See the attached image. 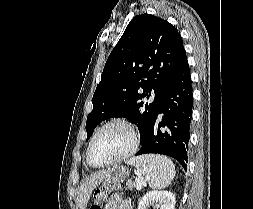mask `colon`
Masks as SVG:
<instances>
[{"label":"colon","instance_id":"obj_1","mask_svg":"<svg viewBox=\"0 0 253 209\" xmlns=\"http://www.w3.org/2000/svg\"><path fill=\"white\" fill-rule=\"evenodd\" d=\"M105 183H109V185H111V183H114V182L107 181ZM110 187L111 186H109V188L100 187L95 191V197H94L95 203L92 204L89 209H100L98 203L102 200L104 194L106 193V191H108V189H110Z\"/></svg>","mask_w":253,"mask_h":209}]
</instances>
